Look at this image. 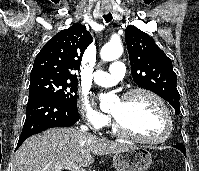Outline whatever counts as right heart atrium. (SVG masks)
I'll return each instance as SVG.
<instances>
[{"label": "right heart atrium", "mask_w": 199, "mask_h": 171, "mask_svg": "<svg viewBox=\"0 0 199 171\" xmlns=\"http://www.w3.org/2000/svg\"><path fill=\"white\" fill-rule=\"evenodd\" d=\"M78 109L85 123L92 129L98 131L106 127L109 123L108 116L100 113L88 99L82 97L78 101Z\"/></svg>", "instance_id": "obj_1"}]
</instances>
